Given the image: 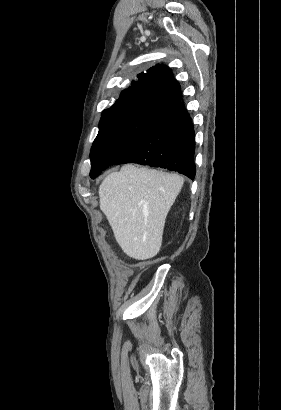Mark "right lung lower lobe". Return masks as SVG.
Instances as JSON below:
<instances>
[{
    "mask_svg": "<svg viewBox=\"0 0 281 410\" xmlns=\"http://www.w3.org/2000/svg\"><path fill=\"white\" fill-rule=\"evenodd\" d=\"M195 133L180 102L152 124L112 165L137 163L177 171L195 178Z\"/></svg>",
    "mask_w": 281,
    "mask_h": 410,
    "instance_id": "obj_1",
    "label": "right lung lower lobe"
}]
</instances>
